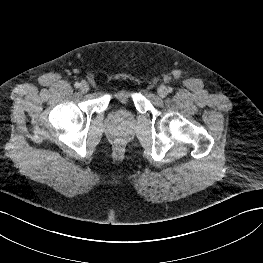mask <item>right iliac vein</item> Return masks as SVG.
Returning <instances> with one entry per match:
<instances>
[{
  "mask_svg": "<svg viewBox=\"0 0 263 263\" xmlns=\"http://www.w3.org/2000/svg\"><path fill=\"white\" fill-rule=\"evenodd\" d=\"M80 90L83 93H86V92L89 91V85L87 84V82H82L81 83Z\"/></svg>",
  "mask_w": 263,
  "mask_h": 263,
  "instance_id": "obj_1",
  "label": "right iliac vein"
}]
</instances>
